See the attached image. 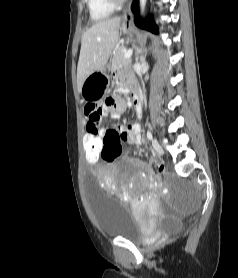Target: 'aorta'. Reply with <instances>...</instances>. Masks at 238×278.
Listing matches in <instances>:
<instances>
[{
    "instance_id": "obj_1",
    "label": "aorta",
    "mask_w": 238,
    "mask_h": 278,
    "mask_svg": "<svg viewBox=\"0 0 238 278\" xmlns=\"http://www.w3.org/2000/svg\"><path fill=\"white\" fill-rule=\"evenodd\" d=\"M146 3H147V0H139L141 15L144 14Z\"/></svg>"
}]
</instances>
